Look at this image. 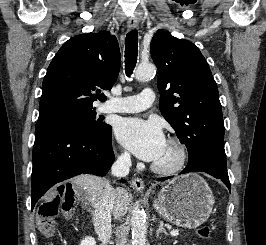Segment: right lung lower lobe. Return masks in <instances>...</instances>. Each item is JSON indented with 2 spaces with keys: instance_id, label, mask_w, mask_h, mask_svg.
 <instances>
[{
  "instance_id": "98d812e1",
  "label": "right lung lower lobe",
  "mask_w": 266,
  "mask_h": 245,
  "mask_svg": "<svg viewBox=\"0 0 266 245\" xmlns=\"http://www.w3.org/2000/svg\"><path fill=\"white\" fill-rule=\"evenodd\" d=\"M102 136L69 125H58L35 135L32 170V210L58 182L80 173L104 176L114 161L112 128Z\"/></svg>"
}]
</instances>
